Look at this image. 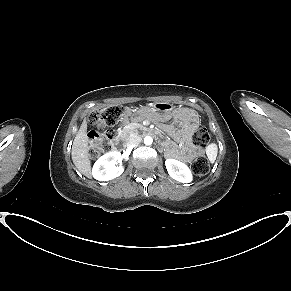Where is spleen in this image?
<instances>
[{
	"label": "spleen",
	"instance_id": "1",
	"mask_svg": "<svg viewBox=\"0 0 291 291\" xmlns=\"http://www.w3.org/2000/svg\"><path fill=\"white\" fill-rule=\"evenodd\" d=\"M217 153H218V147L215 143H212L207 146L206 154L211 163H213L216 160Z\"/></svg>",
	"mask_w": 291,
	"mask_h": 291
}]
</instances>
